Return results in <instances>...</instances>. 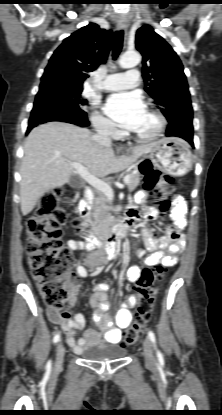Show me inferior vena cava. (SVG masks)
<instances>
[{
	"mask_svg": "<svg viewBox=\"0 0 222 415\" xmlns=\"http://www.w3.org/2000/svg\"><path fill=\"white\" fill-rule=\"evenodd\" d=\"M97 134L93 136V139L101 145H111V133L112 127L109 124H103L96 127ZM104 205L102 198L98 197L94 203V216L100 221L104 219ZM100 255L105 257L106 252L101 250Z\"/></svg>",
	"mask_w": 222,
	"mask_h": 415,
	"instance_id": "602c4592",
	"label": "inferior vena cava"
}]
</instances>
